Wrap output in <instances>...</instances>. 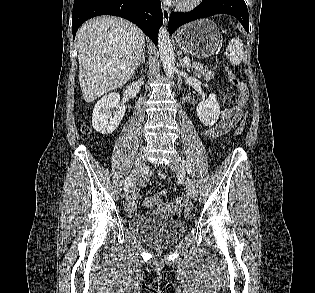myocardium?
Returning a JSON list of instances; mask_svg holds the SVG:
<instances>
[{"label": "myocardium", "mask_w": 315, "mask_h": 293, "mask_svg": "<svg viewBox=\"0 0 315 293\" xmlns=\"http://www.w3.org/2000/svg\"><path fill=\"white\" fill-rule=\"evenodd\" d=\"M202 1L203 0H179L177 1L176 6L182 11H191L196 9L202 3Z\"/></svg>", "instance_id": "myocardium-1"}]
</instances>
